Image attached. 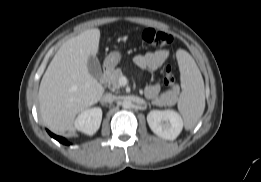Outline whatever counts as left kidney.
<instances>
[{"label": "left kidney", "instance_id": "left-kidney-1", "mask_svg": "<svg viewBox=\"0 0 261 182\" xmlns=\"http://www.w3.org/2000/svg\"><path fill=\"white\" fill-rule=\"evenodd\" d=\"M150 129L159 137L174 140L181 133L183 120L174 110H152L147 115Z\"/></svg>", "mask_w": 261, "mask_h": 182}]
</instances>
